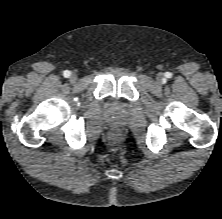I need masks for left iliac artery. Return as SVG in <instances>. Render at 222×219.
Masks as SVG:
<instances>
[{
	"mask_svg": "<svg viewBox=\"0 0 222 219\" xmlns=\"http://www.w3.org/2000/svg\"><path fill=\"white\" fill-rule=\"evenodd\" d=\"M165 76H166L167 78H169V77L171 76V74H170L169 72H166Z\"/></svg>",
	"mask_w": 222,
	"mask_h": 219,
	"instance_id": "obj_1",
	"label": "left iliac artery"
}]
</instances>
